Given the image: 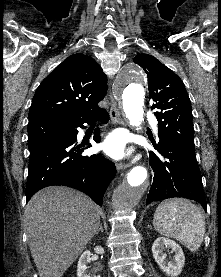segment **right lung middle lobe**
I'll list each match as a JSON object with an SVG mask.
<instances>
[{"instance_id":"dd1d6c3e","label":"right lung middle lobe","mask_w":221,"mask_h":277,"mask_svg":"<svg viewBox=\"0 0 221 277\" xmlns=\"http://www.w3.org/2000/svg\"><path fill=\"white\" fill-rule=\"evenodd\" d=\"M59 125L57 121H49L28 125V146L29 150L47 141L58 134Z\"/></svg>"}]
</instances>
